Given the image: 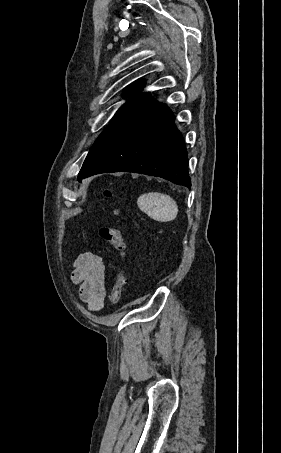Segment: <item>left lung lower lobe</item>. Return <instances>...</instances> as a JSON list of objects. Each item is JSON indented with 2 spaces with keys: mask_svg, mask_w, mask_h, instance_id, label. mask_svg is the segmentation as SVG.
Listing matches in <instances>:
<instances>
[{
  "mask_svg": "<svg viewBox=\"0 0 281 453\" xmlns=\"http://www.w3.org/2000/svg\"><path fill=\"white\" fill-rule=\"evenodd\" d=\"M188 157L174 116L146 94L110 138L82 167L78 180L99 173L136 172L191 187Z\"/></svg>",
  "mask_w": 281,
  "mask_h": 453,
  "instance_id": "1",
  "label": "left lung lower lobe"
}]
</instances>
